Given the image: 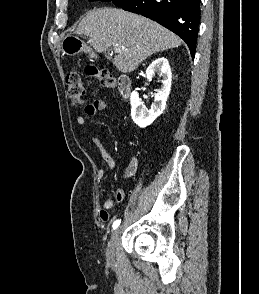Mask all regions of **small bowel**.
Here are the masks:
<instances>
[{
	"label": "small bowel",
	"instance_id": "c3829d8e",
	"mask_svg": "<svg viewBox=\"0 0 259 294\" xmlns=\"http://www.w3.org/2000/svg\"><path fill=\"white\" fill-rule=\"evenodd\" d=\"M106 102L102 99L94 100L92 103L88 104L85 109L86 116H95L97 113L105 110ZM85 115H78L76 117V122L80 125L85 124L86 116ZM90 141L94 148L100 153L103 161L106 163L109 169L115 168V161L112 156L106 151L102 139L99 135H90ZM137 168V160L132 159L129 166L127 167L124 178H128L132 176ZM98 179L102 180L105 177V171L103 169L98 170L97 172ZM124 192L122 189H118L116 192V200L118 202H122L124 200ZM113 207V200L111 198H104L101 203V209L99 211V218L102 222H107L109 220V210Z\"/></svg>",
	"mask_w": 259,
	"mask_h": 294
}]
</instances>
